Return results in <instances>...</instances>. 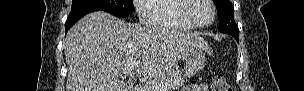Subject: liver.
Segmentation results:
<instances>
[{"label": "liver", "mask_w": 304, "mask_h": 91, "mask_svg": "<svg viewBox=\"0 0 304 91\" xmlns=\"http://www.w3.org/2000/svg\"><path fill=\"white\" fill-rule=\"evenodd\" d=\"M193 46L210 50L196 32L130 24L106 12L84 16L68 32L66 91H128L127 66L141 58L145 77L171 71Z\"/></svg>", "instance_id": "obj_1"}]
</instances>
